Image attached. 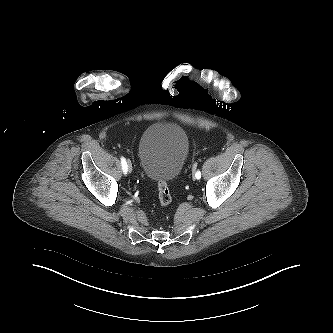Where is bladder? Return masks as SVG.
<instances>
[{"label":"bladder","mask_w":333,"mask_h":333,"mask_svg":"<svg viewBox=\"0 0 333 333\" xmlns=\"http://www.w3.org/2000/svg\"><path fill=\"white\" fill-rule=\"evenodd\" d=\"M189 152L185 130L168 122L148 126L138 142V158L143 175L151 181L170 182L181 173Z\"/></svg>","instance_id":"bladder-1"}]
</instances>
